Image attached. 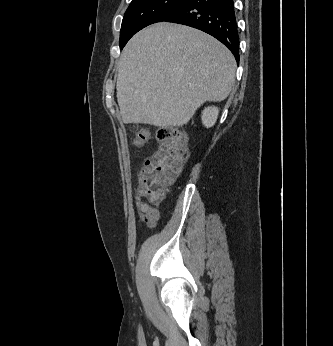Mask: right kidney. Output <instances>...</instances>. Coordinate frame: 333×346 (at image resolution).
Here are the masks:
<instances>
[{"instance_id": "1", "label": "right kidney", "mask_w": 333, "mask_h": 346, "mask_svg": "<svg viewBox=\"0 0 333 346\" xmlns=\"http://www.w3.org/2000/svg\"><path fill=\"white\" fill-rule=\"evenodd\" d=\"M219 109L217 107H207L202 112V123L205 127H212L218 117Z\"/></svg>"}]
</instances>
